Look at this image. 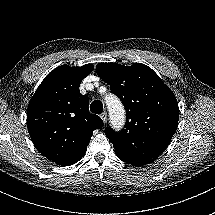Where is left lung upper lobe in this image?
I'll use <instances>...</instances> for the list:
<instances>
[{
    "label": "left lung upper lobe",
    "instance_id": "obj_1",
    "mask_svg": "<svg viewBox=\"0 0 215 215\" xmlns=\"http://www.w3.org/2000/svg\"><path fill=\"white\" fill-rule=\"evenodd\" d=\"M96 72L110 85L126 110L125 127H110L105 134L115 151L131 157H158L169 145L178 126L179 107L175 95L148 66L135 63H98Z\"/></svg>",
    "mask_w": 215,
    "mask_h": 215
}]
</instances>
